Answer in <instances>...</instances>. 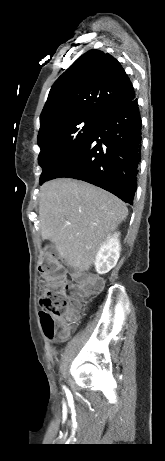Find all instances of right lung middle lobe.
Returning <instances> with one entry per match:
<instances>
[{"instance_id": "1", "label": "right lung middle lobe", "mask_w": 165, "mask_h": 461, "mask_svg": "<svg viewBox=\"0 0 165 461\" xmlns=\"http://www.w3.org/2000/svg\"><path fill=\"white\" fill-rule=\"evenodd\" d=\"M100 119L80 116L61 120L38 135L41 149L38 163L42 167L40 184H43L92 134Z\"/></svg>"}]
</instances>
